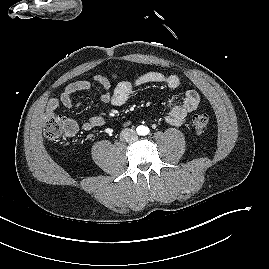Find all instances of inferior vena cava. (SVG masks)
Instances as JSON below:
<instances>
[{
    "mask_svg": "<svg viewBox=\"0 0 269 269\" xmlns=\"http://www.w3.org/2000/svg\"><path fill=\"white\" fill-rule=\"evenodd\" d=\"M120 138L123 140V141H126V142H132V141H135L136 138H137V133L135 130L133 129H130V128H126L124 130H122L121 134H120Z\"/></svg>",
    "mask_w": 269,
    "mask_h": 269,
    "instance_id": "inferior-vena-cava-1",
    "label": "inferior vena cava"
}]
</instances>
